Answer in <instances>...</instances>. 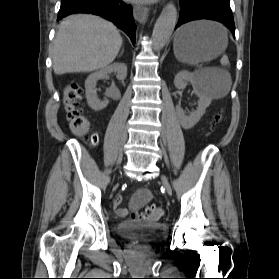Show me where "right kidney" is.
<instances>
[{
	"label": "right kidney",
	"mask_w": 279,
	"mask_h": 279,
	"mask_svg": "<svg viewBox=\"0 0 279 279\" xmlns=\"http://www.w3.org/2000/svg\"><path fill=\"white\" fill-rule=\"evenodd\" d=\"M116 73L118 80H124L127 77V66L124 63H113L88 76L85 81L86 99L91 109L100 111L107 107V99L100 101L97 96L96 84L98 80L107 78L108 74Z\"/></svg>",
	"instance_id": "obj_1"
}]
</instances>
